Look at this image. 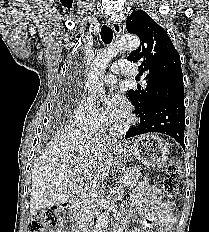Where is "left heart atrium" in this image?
Returning <instances> with one entry per match:
<instances>
[{
	"instance_id": "left-heart-atrium-1",
	"label": "left heart atrium",
	"mask_w": 209,
	"mask_h": 232,
	"mask_svg": "<svg viewBox=\"0 0 209 232\" xmlns=\"http://www.w3.org/2000/svg\"><path fill=\"white\" fill-rule=\"evenodd\" d=\"M107 108L108 122H118L126 119L130 106L128 101L117 91H110L104 99Z\"/></svg>"
}]
</instances>
